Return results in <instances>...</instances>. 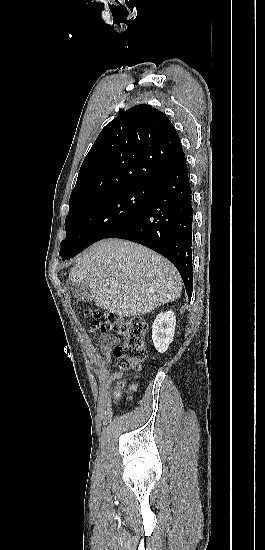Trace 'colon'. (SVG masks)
<instances>
[{
	"instance_id": "colon-1",
	"label": "colon",
	"mask_w": 265,
	"mask_h": 550,
	"mask_svg": "<svg viewBox=\"0 0 265 550\" xmlns=\"http://www.w3.org/2000/svg\"><path fill=\"white\" fill-rule=\"evenodd\" d=\"M85 317L89 321L92 331L111 333L121 336L123 343L114 348L116 363L121 370L138 369L146 359L145 337L148 329L146 320L140 317L122 318L99 310H86ZM125 388L123 383L118 385L117 396ZM132 387H130V390Z\"/></svg>"
}]
</instances>
